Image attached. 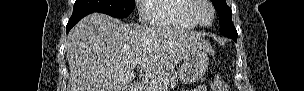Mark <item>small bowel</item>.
Instances as JSON below:
<instances>
[{
    "instance_id": "c3829d8e",
    "label": "small bowel",
    "mask_w": 304,
    "mask_h": 91,
    "mask_svg": "<svg viewBox=\"0 0 304 91\" xmlns=\"http://www.w3.org/2000/svg\"><path fill=\"white\" fill-rule=\"evenodd\" d=\"M205 90H206V88L204 86H199L194 89V91H205Z\"/></svg>"
}]
</instances>
